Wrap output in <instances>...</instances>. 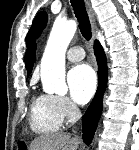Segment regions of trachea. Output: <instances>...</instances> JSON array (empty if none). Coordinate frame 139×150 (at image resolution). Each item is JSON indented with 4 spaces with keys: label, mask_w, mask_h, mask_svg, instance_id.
<instances>
[{
    "label": "trachea",
    "mask_w": 139,
    "mask_h": 150,
    "mask_svg": "<svg viewBox=\"0 0 139 150\" xmlns=\"http://www.w3.org/2000/svg\"><path fill=\"white\" fill-rule=\"evenodd\" d=\"M75 16L79 22V29L86 40L91 38V25L85 8L84 0H70Z\"/></svg>",
    "instance_id": "trachea-1"
}]
</instances>
